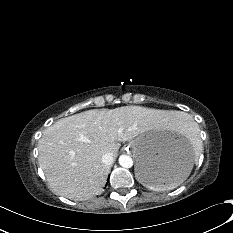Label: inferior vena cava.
I'll return each mask as SVG.
<instances>
[{
  "instance_id": "inferior-vena-cava-1",
  "label": "inferior vena cava",
  "mask_w": 233,
  "mask_h": 233,
  "mask_svg": "<svg viewBox=\"0 0 233 233\" xmlns=\"http://www.w3.org/2000/svg\"><path fill=\"white\" fill-rule=\"evenodd\" d=\"M102 162L106 165H112L114 162L113 154L108 152L102 156Z\"/></svg>"
}]
</instances>
